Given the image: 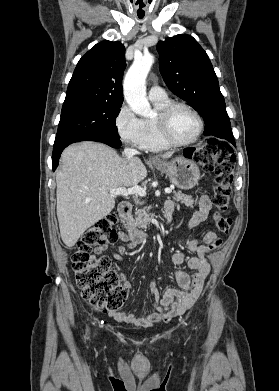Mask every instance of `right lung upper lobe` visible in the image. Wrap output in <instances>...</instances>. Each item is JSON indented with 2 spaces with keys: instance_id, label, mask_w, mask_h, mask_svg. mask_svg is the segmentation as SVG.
<instances>
[{
  "instance_id": "1",
  "label": "right lung upper lobe",
  "mask_w": 279,
  "mask_h": 391,
  "mask_svg": "<svg viewBox=\"0 0 279 391\" xmlns=\"http://www.w3.org/2000/svg\"><path fill=\"white\" fill-rule=\"evenodd\" d=\"M125 47L108 40L96 44L78 62L62 109L80 105L122 104Z\"/></svg>"
}]
</instances>
